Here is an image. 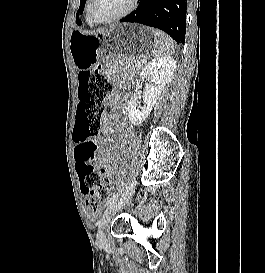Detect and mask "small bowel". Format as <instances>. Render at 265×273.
I'll return each instance as SVG.
<instances>
[{
	"mask_svg": "<svg viewBox=\"0 0 265 273\" xmlns=\"http://www.w3.org/2000/svg\"><path fill=\"white\" fill-rule=\"evenodd\" d=\"M109 104L112 106L113 111L111 114L107 115L105 117V129H104V135L107 138H111L113 134V125L114 122L119 118V114L117 113V109L119 108L118 100L115 96H110L108 98ZM124 127H128V123H123ZM77 146V142H76ZM116 149L113 146H108L106 149L102 150L97 159V166L101 169V171L109 177L111 175V165L110 162L112 160L113 155L115 154ZM99 206H96L94 208H90V213L92 215H95L99 211Z\"/></svg>",
	"mask_w": 265,
	"mask_h": 273,
	"instance_id": "1",
	"label": "small bowel"
}]
</instances>
